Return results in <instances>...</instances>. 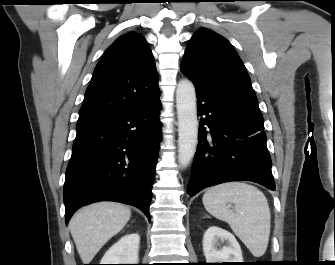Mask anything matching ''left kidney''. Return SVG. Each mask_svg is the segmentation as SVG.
I'll return each instance as SVG.
<instances>
[{
    "label": "left kidney",
    "instance_id": "5707ae66",
    "mask_svg": "<svg viewBox=\"0 0 335 265\" xmlns=\"http://www.w3.org/2000/svg\"><path fill=\"white\" fill-rule=\"evenodd\" d=\"M203 252L207 263L243 262L235 236L217 226L209 227L203 236Z\"/></svg>",
    "mask_w": 335,
    "mask_h": 265
}]
</instances>
